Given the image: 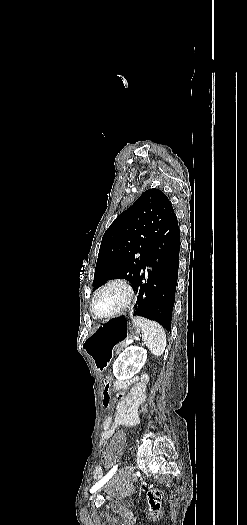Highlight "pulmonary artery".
Segmentation results:
<instances>
[{
  "mask_svg": "<svg viewBox=\"0 0 247 525\" xmlns=\"http://www.w3.org/2000/svg\"><path fill=\"white\" fill-rule=\"evenodd\" d=\"M144 263H145L146 265H149V264L151 263V260H150L149 258H146V259L144 260Z\"/></svg>",
  "mask_w": 247,
  "mask_h": 525,
  "instance_id": "1",
  "label": "pulmonary artery"
}]
</instances>
